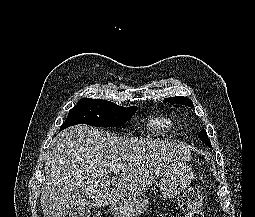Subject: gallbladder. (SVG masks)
<instances>
[{
	"label": "gallbladder",
	"mask_w": 255,
	"mask_h": 217,
	"mask_svg": "<svg viewBox=\"0 0 255 217\" xmlns=\"http://www.w3.org/2000/svg\"><path fill=\"white\" fill-rule=\"evenodd\" d=\"M69 217H90L88 206L79 205L69 211Z\"/></svg>",
	"instance_id": "1"
}]
</instances>
